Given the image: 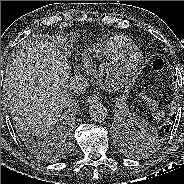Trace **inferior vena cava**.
<instances>
[{
    "label": "inferior vena cava",
    "instance_id": "inferior-vena-cava-1",
    "mask_svg": "<svg viewBox=\"0 0 184 184\" xmlns=\"http://www.w3.org/2000/svg\"><path fill=\"white\" fill-rule=\"evenodd\" d=\"M89 83L86 77L83 75H74L70 79L69 87L71 90H73L74 93H82L86 90Z\"/></svg>",
    "mask_w": 184,
    "mask_h": 184
}]
</instances>
